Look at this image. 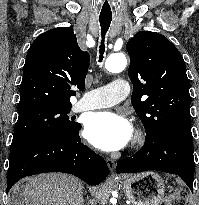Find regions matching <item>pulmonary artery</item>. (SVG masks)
Wrapping results in <instances>:
<instances>
[{
  "label": "pulmonary artery",
  "mask_w": 199,
  "mask_h": 205,
  "mask_svg": "<svg viewBox=\"0 0 199 205\" xmlns=\"http://www.w3.org/2000/svg\"><path fill=\"white\" fill-rule=\"evenodd\" d=\"M130 88L126 79L117 78L106 86L85 92L73 110L80 112L118 104L128 96Z\"/></svg>",
  "instance_id": "e3ab8cb5"
}]
</instances>
